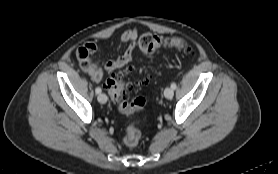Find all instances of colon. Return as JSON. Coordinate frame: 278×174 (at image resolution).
<instances>
[{"instance_id": "colon-1", "label": "colon", "mask_w": 278, "mask_h": 174, "mask_svg": "<svg viewBox=\"0 0 278 174\" xmlns=\"http://www.w3.org/2000/svg\"><path fill=\"white\" fill-rule=\"evenodd\" d=\"M139 47L147 54L154 53L161 47H170L177 50L192 52L191 48L181 38L162 36L153 33L143 34L139 39ZM105 87L114 103L122 112L132 114L140 113L144 110L146 100L143 97L128 101V96L134 87L123 78L122 74H110L105 81ZM144 120L145 117H140L127 127L123 137V142L126 146L133 147L138 144L141 137L139 126Z\"/></svg>"}]
</instances>
